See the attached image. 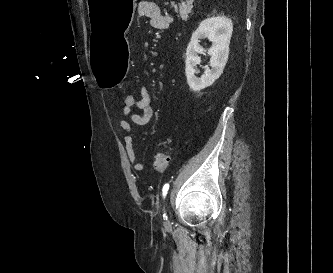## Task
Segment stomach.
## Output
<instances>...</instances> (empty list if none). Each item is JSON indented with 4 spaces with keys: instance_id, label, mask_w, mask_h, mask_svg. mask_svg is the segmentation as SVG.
I'll return each instance as SVG.
<instances>
[{
    "instance_id": "stomach-1",
    "label": "stomach",
    "mask_w": 333,
    "mask_h": 273,
    "mask_svg": "<svg viewBox=\"0 0 333 273\" xmlns=\"http://www.w3.org/2000/svg\"><path fill=\"white\" fill-rule=\"evenodd\" d=\"M137 0H87L90 6V31L87 51L92 58L96 82L111 88L125 81L129 70L130 49L123 38L134 19Z\"/></svg>"
}]
</instances>
